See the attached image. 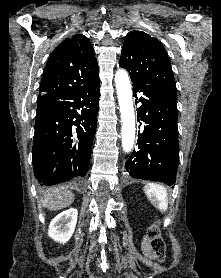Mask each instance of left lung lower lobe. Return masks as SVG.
<instances>
[{
	"label": "left lung lower lobe",
	"mask_w": 221,
	"mask_h": 278,
	"mask_svg": "<svg viewBox=\"0 0 221 278\" xmlns=\"http://www.w3.org/2000/svg\"><path fill=\"white\" fill-rule=\"evenodd\" d=\"M132 83L133 95L142 104L137 119L145 125L125 169L133 178L173 185L179 162L177 97L138 80ZM137 93H142L140 98Z\"/></svg>",
	"instance_id": "obj_1"
}]
</instances>
